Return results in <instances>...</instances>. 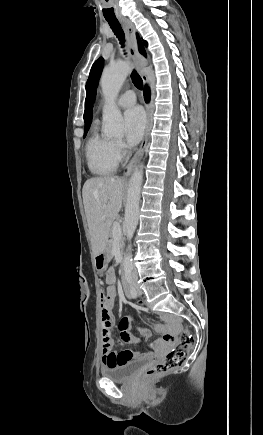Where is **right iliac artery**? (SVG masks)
Segmentation results:
<instances>
[{
  "mask_svg": "<svg viewBox=\"0 0 263 435\" xmlns=\"http://www.w3.org/2000/svg\"><path fill=\"white\" fill-rule=\"evenodd\" d=\"M126 278H127L128 282L130 284V293H129V296L131 298H136L137 297V293H136V290H135V288L133 287V284H132V276H131V270L130 269L126 270Z\"/></svg>",
  "mask_w": 263,
  "mask_h": 435,
  "instance_id": "82829eb1",
  "label": "right iliac artery"
}]
</instances>
